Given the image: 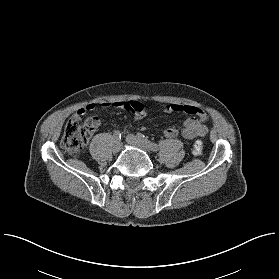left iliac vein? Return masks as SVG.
Returning a JSON list of instances; mask_svg holds the SVG:
<instances>
[{
	"instance_id": "left-iliac-vein-1",
	"label": "left iliac vein",
	"mask_w": 279,
	"mask_h": 279,
	"mask_svg": "<svg viewBox=\"0 0 279 279\" xmlns=\"http://www.w3.org/2000/svg\"><path fill=\"white\" fill-rule=\"evenodd\" d=\"M126 141H127L130 145L135 146V147H138V148H140V149H143V150H147V149H148V146L145 145L143 142H141V140H140L137 136H135V135H133V134H128V135L126 136Z\"/></svg>"
}]
</instances>
